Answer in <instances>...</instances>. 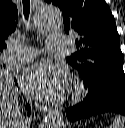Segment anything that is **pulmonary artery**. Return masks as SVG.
<instances>
[{
    "mask_svg": "<svg viewBox=\"0 0 125 128\" xmlns=\"http://www.w3.org/2000/svg\"><path fill=\"white\" fill-rule=\"evenodd\" d=\"M66 37L62 34H51L47 39V48L50 50H59L65 46ZM37 57L35 48L11 43L10 52L5 57L9 63H25Z\"/></svg>",
    "mask_w": 125,
    "mask_h": 128,
    "instance_id": "e3ab8cb5",
    "label": "pulmonary artery"
}]
</instances>
